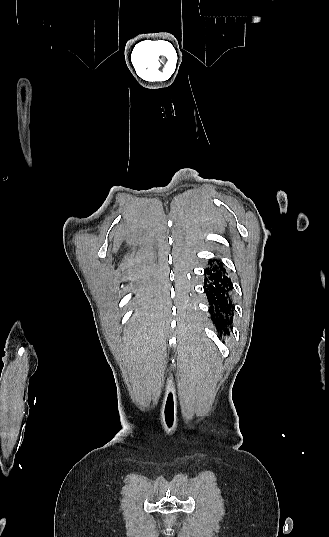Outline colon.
Listing matches in <instances>:
<instances>
[{
  "instance_id": "1",
  "label": "colon",
  "mask_w": 329,
  "mask_h": 537,
  "mask_svg": "<svg viewBox=\"0 0 329 537\" xmlns=\"http://www.w3.org/2000/svg\"><path fill=\"white\" fill-rule=\"evenodd\" d=\"M165 516H171V518L176 519V518H178L179 513H178V511L173 510V511H171V513H165Z\"/></svg>"
}]
</instances>
